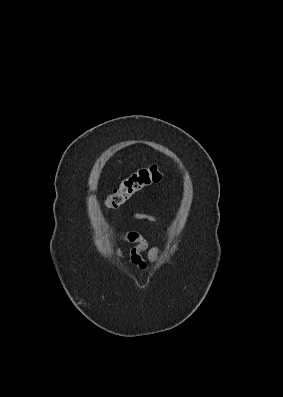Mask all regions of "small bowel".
Masks as SVG:
<instances>
[{"instance_id": "obj_1", "label": "small bowel", "mask_w": 283, "mask_h": 397, "mask_svg": "<svg viewBox=\"0 0 283 397\" xmlns=\"http://www.w3.org/2000/svg\"><path fill=\"white\" fill-rule=\"evenodd\" d=\"M131 217L134 220L157 223L158 218L146 212H134ZM120 240L132 244L128 251L129 262L139 271H146L158 259L161 248L159 246H150L147 239L138 231H126L120 234ZM116 257L122 261L125 258L121 249H116Z\"/></svg>"}]
</instances>
